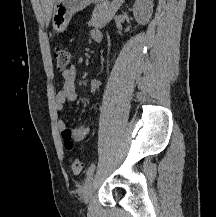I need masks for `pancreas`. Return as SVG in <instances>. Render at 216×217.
Instances as JSON below:
<instances>
[{
  "label": "pancreas",
  "mask_w": 216,
  "mask_h": 217,
  "mask_svg": "<svg viewBox=\"0 0 216 217\" xmlns=\"http://www.w3.org/2000/svg\"><path fill=\"white\" fill-rule=\"evenodd\" d=\"M122 1L123 0H113L111 3L105 2L96 5L88 24L96 28L105 27L119 9Z\"/></svg>",
  "instance_id": "cf45deb5"
}]
</instances>
